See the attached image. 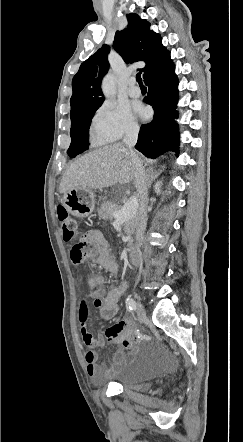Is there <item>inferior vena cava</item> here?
Instances as JSON below:
<instances>
[{
	"label": "inferior vena cava",
	"instance_id": "inferior-vena-cava-1",
	"mask_svg": "<svg viewBox=\"0 0 243 442\" xmlns=\"http://www.w3.org/2000/svg\"><path fill=\"white\" fill-rule=\"evenodd\" d=\"M138 133H139V127L136 125H132L127 129L123 139L124 144L126 145L127 149L130 152L131 159L134 165V183L139 195L138 200H136L135 198H131L134 199L136 203V209L139 206L138 211L135 214V228H136L135 247L137 249H139L142 244L143 235L147 225L146 206L148 202L146 173L144 171V167L139 156L133 149L138 139Z\"/></svg>",
	"mask_w": 243,
	"mask_h": 442
}]
</instances>
